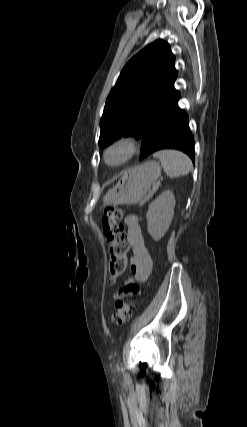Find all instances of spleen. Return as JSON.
I'll use <instances>...</instances> for the list:
<instances>
[{"label": "spleen", "mask_w": 247, "mask_h": 427, "mask_svg": "<svg viewBox=\"0 0 247 427\" xmlns=\"http://www.w3.org/2000/svg\"><path fill=\"white\" fill-rule=\"evenodd\" d=\"M169 177L186 175L192 170L190 158L177 150H160L154 154Z\"/></svg>", "instance_id": "obj_1"}]
</instances>
